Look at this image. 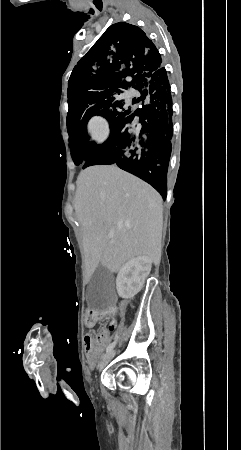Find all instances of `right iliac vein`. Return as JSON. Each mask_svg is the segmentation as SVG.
Returning <instances> with one entry per match:
<instances>
[{"label":"right iliac vein","mask_w":241,"mask_h":450,"mask_svg":"<svg viewBox=\"0 0 241 450\" xmlns=\"http://www.w3.org/2000/svg\"><path fill=\"white\" fill-rule=\"evenodd\" d=\"M115 356V351H111V352H109V353H107L105 356H104V358H103V360H102V362H101V368L104 366V365H106L113 357Z\"/></svg>","instance_id":"right-iliac-vein-1"}]
</instances>
